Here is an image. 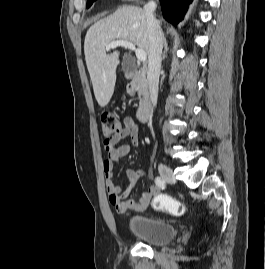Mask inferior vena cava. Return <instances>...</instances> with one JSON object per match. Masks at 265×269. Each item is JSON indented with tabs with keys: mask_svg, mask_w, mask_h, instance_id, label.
Wrapping results in <instances>:
<instances>
[{
	"mask_svg": "<svg viewBox=\"0 0 265 269\" xmlns=\"http://www.w3.org/2000/svg\"><path fill=\"white\" fill-rule=\"evenodd\" d=\"M156 6L157 5L154 1H149L144 6V12L146 16V22L148 26L149 40H150L147 80H148L150 98L153 106H156L157 104L159 75L161 70V59H162L161 56L164 42L161 27L159 25V22L156 20L154 16Z\"/></svg>",
	"mask_w": 265,
	"mask_h": 269,
	"instance_id": "602c4592",
	"label": "inferior vena cava"
}]
</instances>
